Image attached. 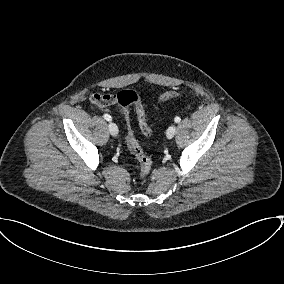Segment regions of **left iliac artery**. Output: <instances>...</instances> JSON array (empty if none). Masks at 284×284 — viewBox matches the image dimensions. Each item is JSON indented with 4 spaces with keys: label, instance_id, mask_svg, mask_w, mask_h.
I'll return each mask as SVG.
<instances>
[{
    "label": "left iliac artery",
    "instance_id": "obj_1",
    "mask_svg": "<svg viewBox=\"0 0 284 284\" xmlns=\"http://www.w3.org/2000/svg\"><path fill=\"white\" fill-rule=\"evenodd\" d=\"M180 120H181V118H180L179 116H176L175 119H174V121H175L176 123L180 122Z\"/></svg>",
    "mask_w": 284,
    "mask_h": 284
}]
</instances>
